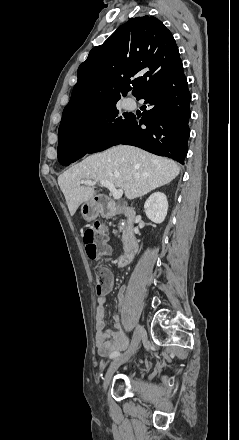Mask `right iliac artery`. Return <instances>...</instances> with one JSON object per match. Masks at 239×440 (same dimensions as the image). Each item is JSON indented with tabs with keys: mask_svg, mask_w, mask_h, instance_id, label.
<instances>
[{
	"mask_svg": "<svg viewBox=\"0 0 239 440\" xmlns=\"http://www.w3.org/2000/svg\"><path fill=\"white\" fill-rule=\"evenodd\" d=\"M118 356H120V352H113V353L110 355V358H116V357H118Z\"/></svg>",
	"mask_w": 239,
	"mask_h": 440,
	"instance_id": "1",
	"label": "right iliac artery"
}]
</instances>
